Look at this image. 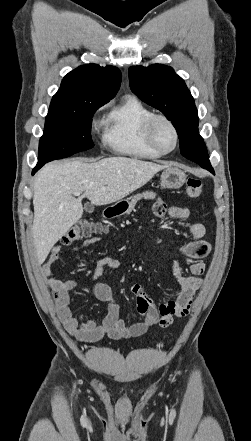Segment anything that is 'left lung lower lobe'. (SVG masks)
Returning <instances> with one entry per match:
<instances>
[{
    "instance_id": "1",
    "label": "left lung lower lobe",
    "mask_w": 251,
    "mask_h": 441,
    "mask_svg": "<svg viewBox=\"0 0 251 441\" xmlns=\"http://www.w3.org/2000/svg\"><path fill=\"white\" fill-rule=\"evenodd\" d=\"M201 141H203L202 139H201ZM204 150H205V156H206V162L205 163H202L201 161L199 162V165L201 166V167H203V168H206L207 170H209V171H211V172H214L213 171V168H212V166H211V164H210V161H209V157H208V154H207V150L204 148Z\"/></svg>"
}]
</instances>
